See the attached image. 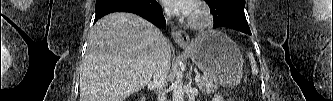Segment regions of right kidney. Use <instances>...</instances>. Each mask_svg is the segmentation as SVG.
<instances>
[{
    "label": "right kidney",
    "mask_w": 333,
    "mask_h": 101,
    "mask_svg": "<svg viewBox=\"0 0 333 101\" xmlns=\"http://www.w3.org/2000/svg\"><path fill=\"white\" fill-rule=\"evenodd\" d=\"M141 101H145V97H141V99H140Z\"/></svg>",
    "instance_id": "ca27d5eb"
}]
</instances>
